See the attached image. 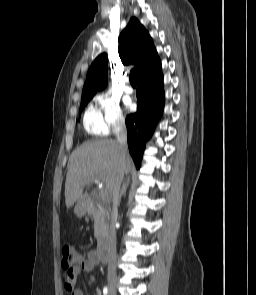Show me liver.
I'll return each instance as SVG.
<instances>
[{
    "label": "liver",
    "instance_id": "liver-1",
    "mask_svg": "<svg viewBox=\"0 0 256 295\" xmlns=\"http://www.w3.org/2000/svg\"><path fill=\"white\" fill-rule=\"evenodd\" d=\"M133 166L127 153L121 159L120 145L116 140H89L76 148L68 161L65 182V204L69 209L74 203L85 200L84 186L92 181L102 182L106 192L111 194L119 174H128Z\"/></svg>",
    "mask_w": 256,
    "mask_h": 295
}]
</instances>
